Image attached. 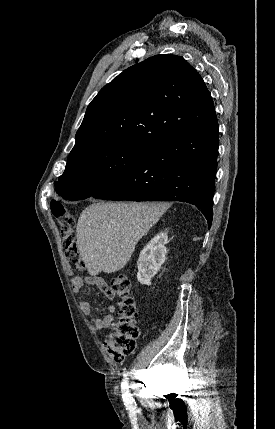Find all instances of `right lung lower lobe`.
<instances>
[{"label": "right lung lower lobe", "instance_id": "1", "mask_svg": "<svg viewBox=\"0 0 275 429\" xmlns=\"http://www.w3.org/2000/svg\"><path fill=\"white\" fill-rule=\"evenodd\" d=\"M218 129L215 121L165 138L149 150L138 167L92 197L188 202L201 209L210 228Z\"/></svg>", "mask_w": 275, "mask_h": 429}]
</instances>
